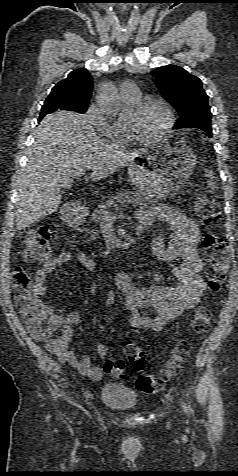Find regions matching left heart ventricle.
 Instances as JSON below:
<instances>
[{
	"instance_id": "left-heart-ventricle-1",
	"label": "left heart ventricle",
	"mask_w": 238,
	"mask_h": 476,
	"mask_svg": "<svg viewBox=\"0 0 238 476\" xmlns=\"http://www.w3.org/2000/svg\"><path fill=\"white\" fill-rule=\"evenodd\" d=\"M125 121L139 133L148 135L160 131L165 126L167 115L161 106L151 105L141 113L131 110Z\"/></svg>"
}]
</instances>
